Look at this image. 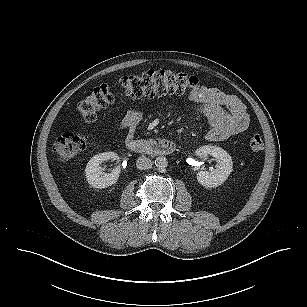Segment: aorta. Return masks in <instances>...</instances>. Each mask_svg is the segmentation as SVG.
<instances>
[{
  "mask_svg": "<svg viewBox=\"0 0 307 307\" xmlns=\"http://www.w3.org/2000/svg\"><path fill=\"white\" fill-rule=\"evenodd\" d=\"M168 165V160L164 156H159L155 159V166L159 169H164Z\"/></svg>",
  "mask_w": 307,
  "mask_h": 307,
  "instance_id": "762f6f07",
  "label": "aorta"
}]
</instances>
